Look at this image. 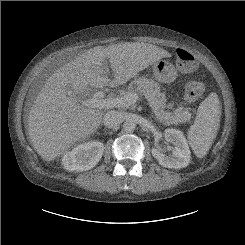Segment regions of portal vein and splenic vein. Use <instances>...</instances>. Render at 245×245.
I'll list each match as a JSON object with an SVG mask.
<instances>
[{"label": "portal vein and splenic vein", "mask_w": 245, "mask_h": 245, "mask_svg": "<svg viewBox=\"0 0 245 245\" xmlns=\"http://www.w3.org/2000/svg\"><path fill=\"white\" fill-rule=\"evenodd\" d=\"M101 72L103 73L105 70L102 69ZM103 97L104 95L101 92H97L91 98L82 101V105L97 109L128 108L139 99L136 92L115 98L103 99Z\"/></svg>", "instance_id": "1"}]
</instances>
